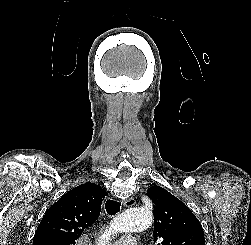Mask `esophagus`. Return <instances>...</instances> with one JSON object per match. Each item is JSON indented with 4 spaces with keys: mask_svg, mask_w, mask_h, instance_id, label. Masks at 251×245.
I'll list each match as a JSON object with an SVG mask.
<instances>
[{
    "mask_svg": "<svg viewBox=\"0 0 251 245\" xmlns=\"http://www.w3.org/2000/svg\"><path fill=\"white\" fill-rule=\"evenodd\" d=\"M135 199L133 197L128 198L127 200L124 201V206L125 207H130L133 206L135 204Z\"/></svg>",
    "mask_w": 251,
    "mask_h": 245,
    "instance_id": "34e87169",
    "label": "esophagus"
}]
</instances>
